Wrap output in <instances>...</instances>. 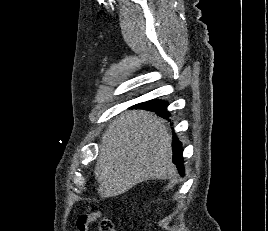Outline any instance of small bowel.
Listing matches in <instances>:
<instances>
[{
  "label": "small bowel",
  "instance_id": "obj_1",
  "mask_svg": "<svg viewBox=\"0 0 268 231\" xmlns=\"http://www.w3.org/2000/svg\"><path fill=\"white\" fill-rule=\"evenodd\" d=\"M99 212H91L89 214L81 215L77 218V228L79 231H89L90 223L96 220V216Z\"/></svg>",
  "mask_w": 268,
  "mask_h": 231
}]
</instances>
